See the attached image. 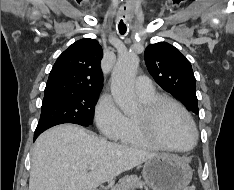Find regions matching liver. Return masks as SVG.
Listing matches in <instances>:
<instances>
[{
  "instance_id": "obj_1",
  "label": "liver",
  "mask_w": 234,
  "mask_h": 190,
  "mask_svg": "<svg viewBox=\"0 0 234 190\" xmlns=\"http://www.w3.org/2000/svg\"><path fill=\"white\" fill-rule=\"evenodd\" d=\"M157 155L111 143L77 125H59L35 142L29 190H96ZM91 163L97 167L89 171Z\"/></svg>"
}]
</instances>
